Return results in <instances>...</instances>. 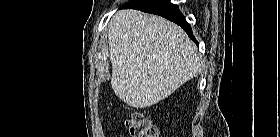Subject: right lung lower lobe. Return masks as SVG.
I'll return each mask as SVG.
<instances>
[{
  "label": "right lung lower lobe",
  "instance_id": "obj_1",
  "mask_svg": "<svg viewBox=\"0 0 280 137\" xmlns=\"http://www.w3.org/2000/svg\"><path fill=\"white\" fill-rule=\"evenodd\" d=\"M121 8L137 9L160 15L183 28L188 36L198 44L192 34L190 25L187 23L183 14L180 13L178 6L172 4L169 0H130Z\"/></svg>",
  "mask_w": 280,
  "mask_h": 137
}]
</instances>
